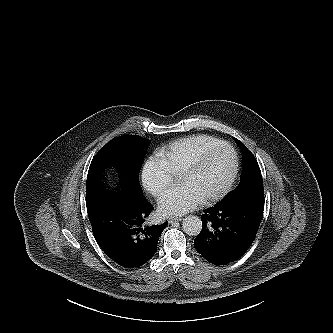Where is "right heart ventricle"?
<instances>
[{
	"label": "right heart ventricle",
	"mask_w": 333,
	"mask_h": 333,
	"mask_svg": "<svg viewBox=\"0 0 333 333\" xmlns=\"http://www.w3.org/2000/svg\"><path fill=\"white\" fill-rule=\"evenodd\" d=\"M223 142L221 139L206 135H192L175 140L159 150L173 174H179L200 153Z\"/></svg>",
	"instance_id": "1"
}]
</instances>
